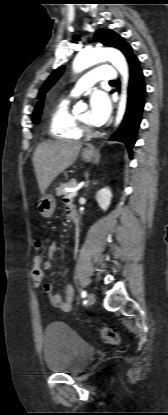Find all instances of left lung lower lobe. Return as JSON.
I'll list each match as a JSON object with an SVG mask.
<instances>
[{
  "label": "left lung lower lobe",
  "mask_w": 168,
  "mask_h": 415,
  "mask_svg": "<svg viewBox=\"0 0 168 415\" xmlns=\"http://www.w3.org/2000/svg\"><path fill=\"white\" fill-rule=\"evenodd\" d=\"M130 79L128 87V101L124 120L118 133L110 140L125 143L130 157L136 141L137 131L142 119L146 87L144 75L140 68V61L133 56L129 61Z\"/></svg>",
  "instance_id": "left-lung-lower-lobe-1"
}]
</instances>
